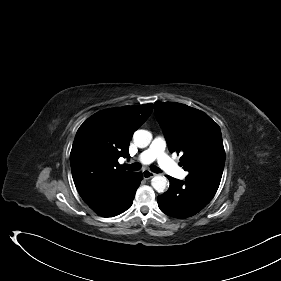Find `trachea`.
I'll use <instances>...</instances> for the list:
<instances>
[{"instance_id": "obj_1", "label": "trachea", "mask_w": 281, "mask_h": 281, "mask_svg": "<svg viewBox=\"0 0 281 281\" xmlns=\"http://www.w3.org/2000/svg\"><path fill=\"white\" fill-rule=\"evenodd\" d=\"M126 169L128 171H138L141 169V165L139 163H133V164H130L128 166H126ZM151 170L154 172V173H161V169L158 168L157 166H152L151 167Z\"/></svg>"}]
</instances>
